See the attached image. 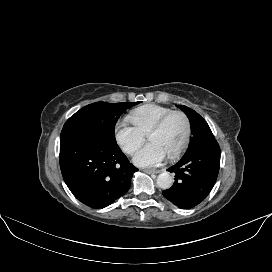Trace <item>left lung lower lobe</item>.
<instances>
[{"mask_svg": "<svg viewBox=\"0 0 272 272\" xmlns=\"http://www.w3.org/2000/svg\"><path fill=\"white\" fill-rule=\"evenodd\" d=\"M220 166V147L216 140L185 152L175 165L173 186L163 196L182 209L201 203L213 188Z\"/></svg>", "mask_w": 272, "mask_h": 272, "instance_id": "0a47b994", "label": "left lung lower lobe"}]
</instances>
